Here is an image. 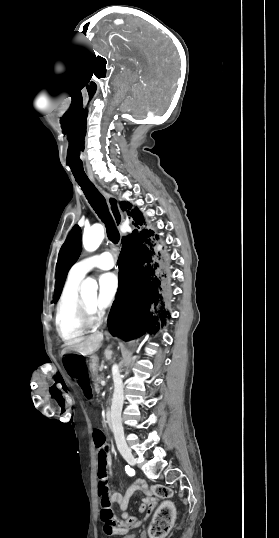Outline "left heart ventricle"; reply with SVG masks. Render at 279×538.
Segmentation results:
<instances>
[{
    "instance_id": "b2bd125f",
    "label": "left heart ventricle",
    "mask_w": 279,
    "mask_h": 538,
    "mask_svg": "<svg viewBox=\"0 0 279 538\" xmlns=\"http://www.w3.org/2000/svg\"><path fill=\"white\" fill-rule=\"evenodd\" d=\"M86 297V299L92 303H97L99 298H98V295H97V292H94V293H88V294H85L84 295Z\"/></svg>"
}]
</instances>
